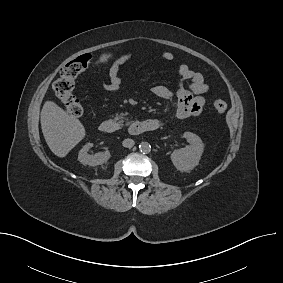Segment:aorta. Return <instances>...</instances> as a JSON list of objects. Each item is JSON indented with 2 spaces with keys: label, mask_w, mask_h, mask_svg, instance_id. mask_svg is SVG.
<instances>
[{
  "label": "aorta",
  "mask_w": 283,
  "mask_h": 283,
  "mask_svg": "<svg viewBox=\"0 0 283 283\" xmlns=\"http://www.w3.org/2000/svg\"><path fill=\"white\" fill-rule=\"evenodd\" d=\"M139 149L142 153H148L151 150V145L148 142H141Z\"/></svg>",
  "instance_id": "aorta-1"
}]
</instances>
